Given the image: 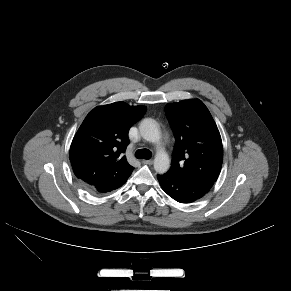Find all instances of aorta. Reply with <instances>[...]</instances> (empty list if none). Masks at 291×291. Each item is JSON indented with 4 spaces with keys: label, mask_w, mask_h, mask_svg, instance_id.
<instances>
[{
    "label": "aorta",
    "mask_w": 291,
    "mask_h": 291,
    "mask_svg": "<svg viewBox=\"0 0 291 291\" xmlns=\"http://www.w3.org/2000/svg\"><path fill=\"white\" fill-rule=\"evenodd\" d=\"M140 134L146 141L159 143L160 131L157 122L152 118H145L139 125ZM170 167V159L168 154L160 149L156 152L154 159V169L157 173L163 174Z\"/></svg>",
    "instance_id": "762f6f07"
}]
</instances>
